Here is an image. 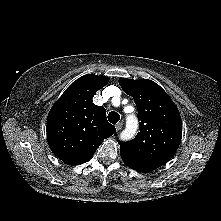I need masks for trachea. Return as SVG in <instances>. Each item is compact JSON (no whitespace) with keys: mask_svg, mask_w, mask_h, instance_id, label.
<instances>
[{"mask_svg":"<svg viewBox=\"0 0 221 221\" xmlns=\"http://www.w3.org/2000/svg\"><path fill=\"white\" fill-rule=\"evenodd\" d=\"M108 120L112 124H116L120 120V115L117 112H110L108 114Z\"/></svg>","mask_w":221,"mask_h":221,"instance_id":"trachea-1","label":"trachea"}]
</instances>
